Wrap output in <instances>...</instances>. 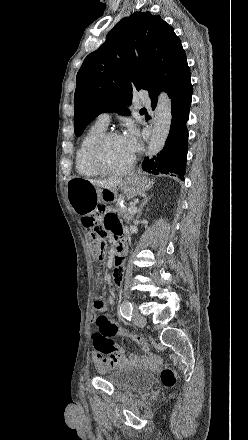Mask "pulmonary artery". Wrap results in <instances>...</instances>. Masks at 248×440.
I'll use <instances>...</instances> for the list:
<instances>
[{
  "label": "pulmonary artery",
  "mask_w": 248,
  "mask_h": 440,
  "mask_svg": "<svg viewBox=\"0 0 248 440\" xmlns=\"http://www.w3.org/2000/svg\"><path fill=\"white\" fill-rule=\"evenodd\" d=\"M140 98H141L145 103H148V100H147V98H146V96H145L144 94H141V95H140ZM110 120H111V113H109V112L101 113V114L97 117V123L100 124V125H102V126H104V127H107V126L109 125Z\"/></svg>",
  "instance_id": "e3ab8cb5"
}]
</instances>
